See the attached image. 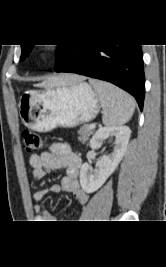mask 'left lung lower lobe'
Wrapping results in <instances>:
<instances>
[{"label":"left lung lower lobe","mask_w":166,"mask_h":267,"mask_svg":"<svg viewBox=\"0 0 166 267\" xmlns=\"http://www.w3.org/2000/svg\"><path fill=\"white\" fill-rule=\"evenodd\" d=\"M55 72H72L108 81L133 95L143 108L145 78L141 45L69 44Z\"/></svg>","instance_id":"obj_1"}]
</instances>
